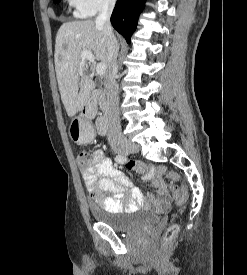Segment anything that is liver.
<instances>
[{
    "label": "liver",
    "instance_id": "6515ba94",
    "mask_svg": "<svg viewBox=\"0 0 247 275\" xmlns=\"http://www.w3.org/2000/svg\"><path fill=\"white\" fill-rule=\"evenodd\" d=\"M91 51L95 59L109 68L105 38L92 20L61 25L56 35L55 70L61 100L69 117H74L88 102L95 83L86 74L82 51Z\"/></svg>",
    "mask_w": 247,
    "mask_h": 275
}]
</instances>
